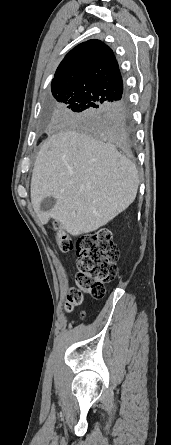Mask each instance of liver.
I'll return each instance as SVG.
<instances>
[{
  "label": "liver",
  "instance_id": "liver-1",
  "mask_svg": "<svg viewBox=\"0 0 171 445\" xmlns=\"http://www.w3.org/2000/svg\"><path fill=\"white\" fill-rule=\"evenodd\" d=\"M139 186L135 165L114 145L64 129L51 135L36 158L31 202L42 224L52 218L77 236L106 225L134 201ZM56 199L48 212L41 201Z\"/></svg>",
  "mask_w": 171,
  "mask_h": 445
}]
</instances>
